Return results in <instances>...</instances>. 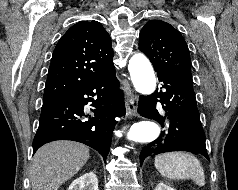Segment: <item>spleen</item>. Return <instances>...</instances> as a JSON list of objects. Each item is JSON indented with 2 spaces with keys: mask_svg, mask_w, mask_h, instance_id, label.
<instances>
[{
  "mask_svg": "<svg viewBox=\"0 0 238 190\" xmlns=\"http://www.w3.org/2000/svg\"><path fill=\"white\" fill-rule=\"evenodd\" d=\"M154 164L159 173L167 179H192L200 187L205 185L203 167L192 154L184 152L164 153L155 157Z\"/></svg>",
  "mask_w": 238,
  "mask_h": 190,
  "instance_id": "1",
  "label": "spleen"
}]
</instances>
